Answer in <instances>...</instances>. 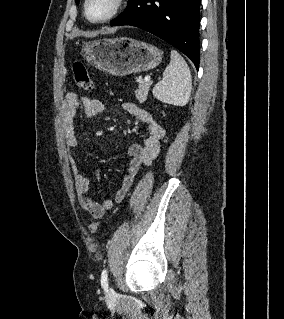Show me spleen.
<instances>
[{
	"label": "spleen",
	"instance_id": "obj_1",
	"mask_svg": "<svg viewBox=\"0 0 284 319\" xmlns=\"http://www.w3.org/2000/svg\"><path fill=\"white\" fill-rule=\"evenodd\" d=\"M171 61L163 73V79L153 88V95L163 103L184 106L188 103L192 80L190 70L183 57L171 51Z\"/></svg>",
	"mask_w": 284,
	"mask_h": 319
}]
</instances>
